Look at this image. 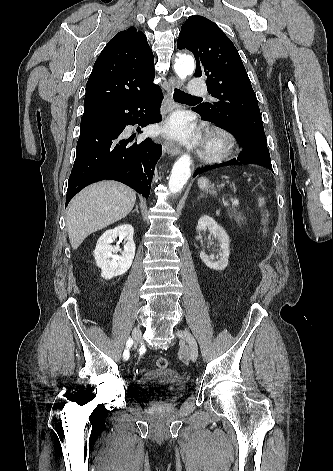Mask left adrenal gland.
<instances>
[{
  "label": "left adrenal gland",
  "instance_id": "left-adrenal-gland-1",
  "mask_svg": "<svg viewBox=\"0 0 333 471\" xmlns=\"http://www.w3.org/2000/svg\"><path fill=\"white\" fill-rule=\"evenodd\" d=\"M203 197H205V196H204L203 193H201L198 198L200 199V198H203Z\"/></svg>",
  "mask_w": 333,
  "mask_h": 471
}]
</instances>
